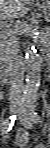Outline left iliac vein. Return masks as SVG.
I'll list each match as a JSON object with an SVG mask.
<instances>
[{
  "label": "left iliac vein",
  "mask_w": 50,
  "mask_h": 148,
  "mask_svg": "<svg viewBox=\"0 0 50 148\" xmlns=\"http://www.w3.org/2000/svg\"><path fill=\"white\" fill-rule=\"evenodd\" d=\"M18 119L21 121V123L26 129H32V122L23 105H20L18 108Z\"/></svg>",
  "instance_id": "obj_1"
}]
</instances>
